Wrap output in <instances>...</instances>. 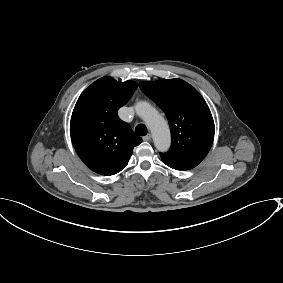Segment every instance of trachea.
<instances>
[{
	"instance_id": "1",
	"label": "trachea",
	"mask_w": 283,
	"mask_h": 283,
	"mask_svg": "<svg viewBox=\"0 0 283 283\" xmlns=\"http://www.w3.org/2000/svg\"><path fill=\"white\" fill-rule=\"evenodd\" d=\"M135 132L140 136H145L148 133V130L144 124H138L135 127Z\"/></svg>"
}]
</instances>
